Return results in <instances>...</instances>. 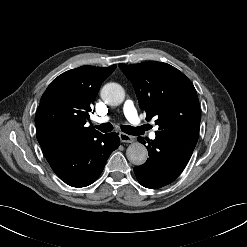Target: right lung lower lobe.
Listing matches in <instances>:
<instances>
[{
	"label": "right lung lower lobe",
	"mask_w": 247,
	"mask_h": 247,
	"mask_svg": "<svg viewBox=\"0 0 247 247\" xmlns=\"http://www.w3.org/2000/svg\"><path fill=\"white\" fill-rule=\"evenodd\" d=\"M119 144L120 139L116 133L65 140L46 159L66 184L85 187L99 177L108 157Z\"/></svg>",
	"instance_id": "98d812e1"
}]
</instances>
